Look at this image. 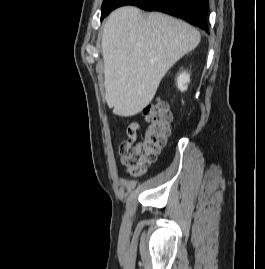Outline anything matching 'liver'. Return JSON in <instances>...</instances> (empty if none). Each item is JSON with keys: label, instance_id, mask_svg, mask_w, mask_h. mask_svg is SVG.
I'll return each mask as SVG.
<instances>
[{"label": "liver", "instance_id": "1", "mask_svg": "<svg viewBox=\"0 0 265 269\" xmlns=\"http://www.w3.org/2000/svg\"><path fill=\"white\" fill-rule=\"evenodd\" d=\"M188 23L125 6L111 13L102 33L105 98L113 113L130 117L154 98L162 78L200 43Z\"/></svg>", "mask_w": 265, "mask_h": 269}]
</instances>
